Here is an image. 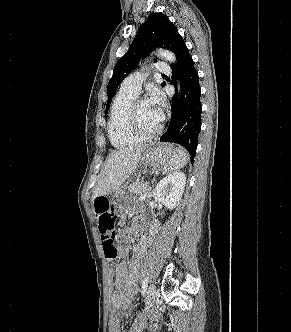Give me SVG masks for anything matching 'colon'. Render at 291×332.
I'll return each instance as SVG.
<instances>
[{
	"label": "colon",
	"instance_id": "1",
	"mask_svg": "<svg viewBox=\"0 0 291 332\" xmlns=\"http://www.w3.org/2000/svg\"><path fill=\"white\" fill-rule=\"evenodd\" d=\"M95 209L105 257L114 260L118 257V248L115 243L116 214L106 198L97 199ZM109 332H121L120 321L116 314L110 318Z\"/></svg>",
	"mask_w": 291,
	"mask_h": 332
}]
</instances>
